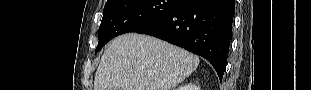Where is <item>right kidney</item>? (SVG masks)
Masks as SVG:
<instances>
[{
  "instance_id": "right-kidney-1",
  "label": "right kidney",
  "mask_w": 311,
  "mask_h": 90,
  "mask_svg": "<svg viewBox=\"0 0 311 90\" xmlns=\"http://www.w3.org/2000/svg\"><path fill=\"white\" fill-rule=\"evenodd\" d=\"M177 90H200V87L194 84H186L180 88H177Z\"/></svg>"
}]
</instances>
